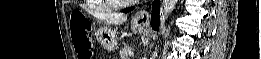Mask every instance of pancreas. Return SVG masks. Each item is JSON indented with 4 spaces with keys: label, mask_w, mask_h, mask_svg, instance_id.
<instances>
[{
    "label": "pancreas",
    "mask_w": 261,
    "mask_h": 59,
    "mask_svg": "<svg viewBox=\"0 0 261 59\" xmlns=\"http://www.w3.org/2000/svg\"><path fill=\"white\" fill-rule=\"evenodd\" d=\"M132 51L131 46L126 44L119 53L120 59H128L129 52Z\"/></svg>",
    "instance_id": "cf45deb5"
}]
</instances>
